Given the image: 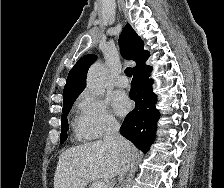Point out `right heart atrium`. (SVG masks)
I'll list each match as a JSON object with an SVG mask.
<instances>
[{
  "label": "right heart atrium",
  "mask_w": 224,
  "mask_h": 188,
  "mask_svg": "<svg viewBox=\"0 0 224 188\" xmlns=\"http://www.w3.org/2000/svg\"><path fill=\"white\" fill-rule=\"evenodd\" d=\"M78 107L79 122L89 138L100 139L119 127V122L110 111L107 100L90 90L82 92Z\"/></svg>",
  "instance_id": "1"
}]
</instances>
